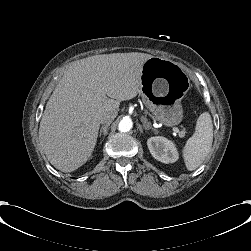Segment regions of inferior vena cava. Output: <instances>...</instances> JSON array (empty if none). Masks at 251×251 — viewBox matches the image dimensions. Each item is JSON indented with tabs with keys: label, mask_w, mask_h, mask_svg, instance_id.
<instances>
[{
	"label": "inferior vena cava",
	"mask_w": 251,
	"mask_h": 251,
	"mask_svg": "<svg viewBox=\"0 0 251 251\" xmlns=\"http://www.w3.org/2000/svg\"><path fill=\"white\" fill-rule=\"evenodd\" d=\"M112 120H113V118H103L102 120H101V123H106V124H110L111 122H112Z\"/></svg>",
	"instance_id": "obj_1"
}]
</instances>
